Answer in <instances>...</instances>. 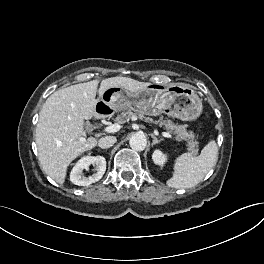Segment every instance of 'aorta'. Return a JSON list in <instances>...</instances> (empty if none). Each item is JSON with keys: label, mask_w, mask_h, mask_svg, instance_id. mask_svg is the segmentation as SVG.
<instances>
[{"label": "aorta", "mask_w": 264, "mask_h": 264, "mask_svg": "<svg viewBox=\"0 0 264 264\" xmlns=\"http://www.w3.org/2000/svg\"><path fill=\"white\" fill-rule=\"evenodd\" d=\"M129 144L132 149L136 151H143L146 148L147 140L143 134L136 133L131 136Z\"/></svg>", "instance_id": "762f6f07"}]
</instances>
